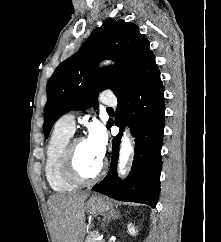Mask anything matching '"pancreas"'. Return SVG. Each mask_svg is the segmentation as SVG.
<instances>
[{"mask_svg":"<svg viewBox=\"0 0 221 242\" xmlns=\"http://www.w3.org/2000/svg\"><path fill=\"white\" fill-rule=\"evenodd\" d=\"M99 233L98 232H93L90 235H88L85 239V242H104L102 241H97L96 238L98 237Z\"/></svg>","mask_w":221,"mask_h":242,"instance_id":"cf45deb5","label":"pancreas"}]
</instances>
